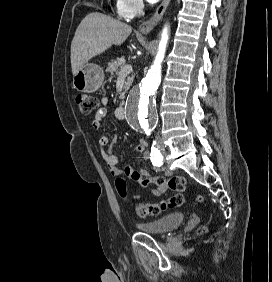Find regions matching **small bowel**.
<instances>
[{
    "instance_id": "small-bowel-1",
    "label": "small bowel",
    "mask_w": 272,
    "mask_h": 282,
    "mask_svg": "<svg viewBox=\"0 0 272 282\" xmlns=\"http://www.w3.org/2000/svg\"><path fill=\"white\" fill-rule=\"evenodd\" d=\"M102 104L104 107L100 108L97 113L95 114V118L92 121V127L94 129H99L101 127L102 120L106 117L108 113V109L106 105L108 104V99L102 98ZM117 143V138L113 137L109 139L106 135H103L99 138L98 144L101 150V156L107 165V167L115 174H122L125 173L129 178H132L133 171L130 167H126L124 170H121L118 167V158L112 153L111 146L115 145ZM109 145V147H108ZM135 151L142 153L143 160L145 163H151V153L149 151L148 143L144 140H139L137 145L134 148ZM164 174L166 176H170L171 172L168 168L162 169ZM141 174L145 177L148 176V171L144 170L141 172ZM151 181L145 186H150V194L154 196L162 195L167 190V185L164 184H158L154 182L151 178H149ZM133 200H140V195H133Z\"/></svg>"
}]
</instances>
